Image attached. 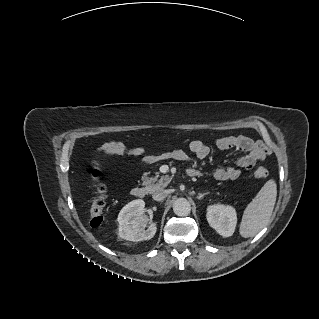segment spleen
Masks as SVG:
<instances>
[{"label": "spleen", "mask_w": 319, "mask_h": 319, "mask_svg": "<svg viewBox=\"0 0 319 319\" xmlns=\"http://www.w3.org/2000/svg\"><path fill=\"white\" fill-rule=\"evenodd\" d=\"M277 197V185L268 180L244 210L239 233L244 238L254 237L269 222Z\"/></svg>", "instance_id": "1"}]
</instances>
